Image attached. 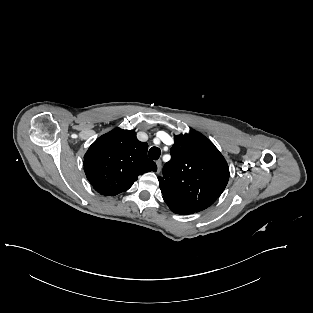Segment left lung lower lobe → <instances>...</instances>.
<instances>
[{
  "mask_svg": "<svg viewBox=\"0 0 313 313\" xmlns=\"http://www.w3.org/2000/svg\"><path fill=\"white\" fill-rule=\"evenodd\" d=\"M164 201L166 202V204L168 205V207L171 209L172 212L176 213V214H192L195 213L196 211H193L192 209L185 207L183 205H180L176 202H173L171 200H168L166 198H163Z\"/></svg>",
  "mask_w": 313,
  "mask_h": 313,
  "instance_id": "0a47b994",
  "label": "left lung lower lobe"
}]
</instances>
